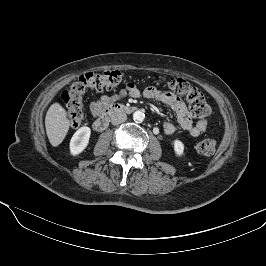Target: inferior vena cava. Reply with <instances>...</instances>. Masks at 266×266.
I'll list each match as a JSON object with an SVG mask.
<instances>
[{
	"label": "inferior vena cava",
	"instance_id": "1",
	"mask_svg": "<svg viewBox=\"0 0 266 266\" xmlns=\"http://www.w3.org/2000/svg\"><path fill=\"white\" fill-rule=\"evenodd\" d=\"M127 120V115L123 112H116L111 116V123L113 125H118Z\"/></svg>",
	"mask_w": 266,
	"mask_h": 266
}]
</instances>
